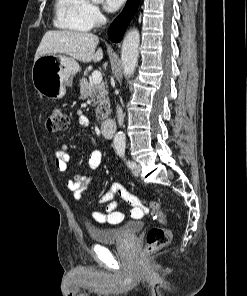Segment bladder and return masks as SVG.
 I'll return each mask as SVG.
<instances>
[{
  "instance_id": "1",
  "label": "bladder",
  "mask_w": 247,
  "mask_h": 296,
  "mask_svg": "<svg viewBox=\"0 0 247 296\" xmlns=\"http://www.w3.org/2000/svg\"><path fill=\"white\" fill-rule=\"evenodd\" d=\"M144 227L142 221H129L119 227L100 228L89 226L88 231L97 243L108 244L125 241L140 232Z\"/></svg>"
}]
</instances>
